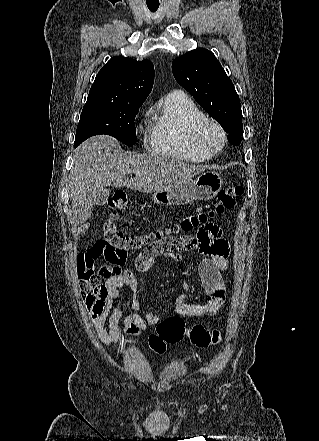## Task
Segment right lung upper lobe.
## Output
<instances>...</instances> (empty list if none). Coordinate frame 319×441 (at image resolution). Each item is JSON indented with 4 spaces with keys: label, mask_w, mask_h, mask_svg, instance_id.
I'll list each match as a JSON object with an SVG mask.
<instances>
[{
    "label": "right lung upper lobe",
    "mask_w": 319,
    "mask_h": 441,
    "mask_svg": "<svg viewBox=\"0 0 319 441\" xmlns=\"http://www.w3.org/2000/svg\"><path fill=\"white\" fill-rule=\"evenodd\" d=\"M153 81L154 66L151 61L113 57L97 74L86 104L142 105L152 90Z\"/></svg>",
    "instance_id": "right-lung-upper-lobe-1"
}]
</instances>
